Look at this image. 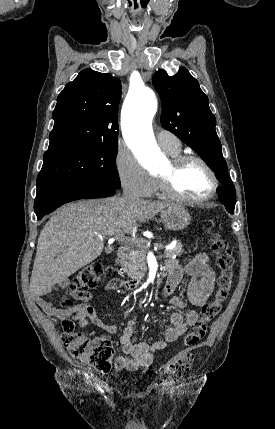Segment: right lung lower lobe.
<instances>
[{"label":"right lung lower lobe","instance_id":"1","mask_svg":"<svg viewBox=\"0 0 275 429\" xmlns=\"http://www.w3.org/2000/svg\"><path fill=\"white\" fill-rule=\"evenodd\" d=\"M115 192L116 188L90 182L68 184L37 195L34 210L37 218L41 219L67 202L77 199L109 197Z\"/></svg>","mask_w":275,"mask_h":429}]
</instances>
